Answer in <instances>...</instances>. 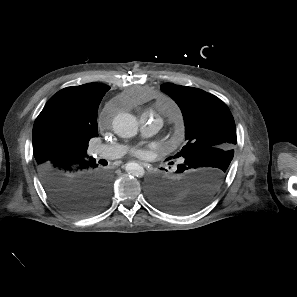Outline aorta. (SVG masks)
<instances>
[{
	"label": "aorta",
	"instance_id": "aorta-1",
	"mask_svg": "<svg viewBox=\"0 0 297 297\" xmlns=\"http://www.w3.org/2000/svg\"><path fill=\"white\" fill-rule=\"evenodd\" d=\"M114 132L122 138H130L137 134L138 122L136 118L129 113H120L116 115L112 122ZM126 171L135 177L144 176V168L136 162L126 164Z\"/></svg>",
	"mask_w": 297,
	"mask_h": 297
}]
</instances>
